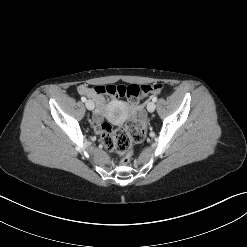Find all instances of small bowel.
Wrapping results in <instances>:
<instances>
[{"label": "small bowel", "instance_id": "small-bowel-1", "mask_svg": "<svg viewBox=\"0 0 247 247\" xmlns=\"http://www.w3.org/2000/svg\"><path fill=\"white\" fill-rule=\"evenodd\" d=\"M97 87L102 88L101 94L95 93L96 87L89 88V87L84 86V85H81L78 87V93H80L82 95H86V96H88L94 100V102L96 103V106H97V110L94 114V120L97 124H100L102 119H103V114H104L105 110L112 104L113 100L110 99V97H109L111 95L103 90L104 86H97ZM127 109L131 113L141 112V108L139 105H131L130 102L127 105Z\"/></svg>", "mask_w": 247, "mask_h": 247}]
</instances>
